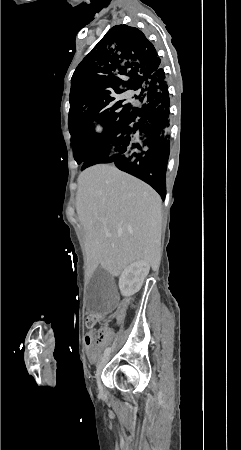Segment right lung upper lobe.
Here are the masks:
<instances>
[{
	"label": "right lung upper lobe",
	"instance_id": "cb5924a9",
	"mask_svg": "<svg viewBox=\"0 0 241 450\" xmlns=\"http://www.w3.org/2000/svg\"><path fill=\"white\" fill-rule=\"evenodd\" d=\"M160 67L155 47L140 30L117 25L82 60L72 77L113 86L124 94L129 90L138 91V96H142L143 77Z\"/></svg>",
	"mask_w": 241,
	"mask_h": 450
}]
</instances>
